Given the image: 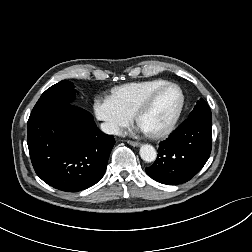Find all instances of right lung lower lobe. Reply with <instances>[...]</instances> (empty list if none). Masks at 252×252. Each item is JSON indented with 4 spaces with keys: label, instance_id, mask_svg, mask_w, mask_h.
<instances>
[{
    "label": "right lung lower lobe",
    "instance_id": "right-lung-lower-lobe-1",
    "mask_svg": "<svg viewBox=\"0 0 252 252\" xmlns=\"http://www.w3.org/2000/svg\"><path fill=\"white\" fill-rule=\"evenodd\" d=\"M93 119L73 104L29 118V153L35 172L45 183L78 192L103 177L115 140L101 132Z\"/></svg>",
    "mask_w": 252,
    "mask_h": 252
}]
</instances>
